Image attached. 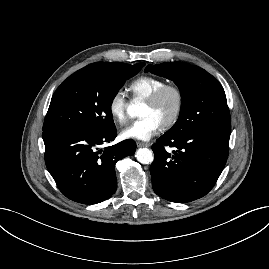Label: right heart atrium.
Listing matches in <instances>:
<instances>
[{
    "instance_id": "d8ad5b80",
    "label": "right heart atrium",
    "mask_w": 269,
    "mask_h": 269,
    "mask_svg": "<svg viewBox=\"0 0 269 269\" xmlns=\"http://www.w3.org/2000/svg\"><path fill=\"white\" fill-rule=\"evenodd\" d=\"M126 107L125 93L122 90L115 91L109 100L108 110L116 123L123 124L126 121Z\"/></svg>"
}]
</instances>
